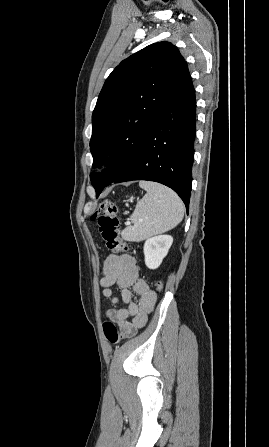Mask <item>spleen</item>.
<instances>
[{
    "mask_svg": "<svg viewBox=\"0 0 269 447\" xmlns=\"http://www.w3.org/2000/svg\"><path fill=\"white\" fill-rule=\"evenodd\" d=\"M139 186L147 194L129 218L133 225H127L121 233L126 241H142L156 233H164L180 224L184 216L183 202L173 190L156 182H139Z\"/></svg>",
    "mask_w": 269,
    "mask_h": 447,
    "instance_id": "obj_1",
    "label": "spleen"
}]
</instances>
